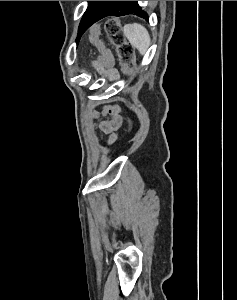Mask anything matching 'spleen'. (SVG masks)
Returning <instances> with one entry per match:
<instances>
[{
    "mask_svg": "<svg viewBox=\"0 0 237 300\" xmlns=\"http://www.w3.org/2000/svg\"><path fill=\"white\" fill-rule=\"evenodd\" d=\"M124 35L127 37L129 43L138 49L141 55H145L151 43L150 35L142 25L134 23V25H124Z\"/></svg>",
    "mask_w": 237,
    "mask_h": 300,
    "instance_id": "1",
    "label": "spleen"
}]
</instances>
